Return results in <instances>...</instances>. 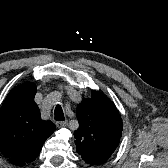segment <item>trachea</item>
<instances>
[{
  "instance_id": "trachea-1",
  "label": "trachea",
  "mask_w": 168,
  "mask_h": 168,
  "mask_svg": "<svg viewBox=\"0 0 168 168\" xmlns=\"http://www.w3.org/2000/svg\"><path fill=\"white\" fill-rule=\"evenodd\" d=\"M54 114H55V120L56 121H64L65 120L64 113H63V110H62L60 105H57L55 107Z\"/></svg>"
}]
</instances>
